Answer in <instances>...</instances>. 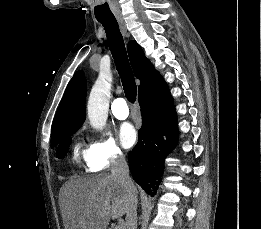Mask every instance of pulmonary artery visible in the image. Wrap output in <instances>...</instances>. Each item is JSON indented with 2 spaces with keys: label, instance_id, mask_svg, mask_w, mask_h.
<instances>
[{
  "label": "pulmonary artery",
  "instance_id": "obj_1",
  "mask_svg": "<svg viewBox=\"0 0 261 229\" xmlns=\"http://www.w3.org/2000/svg\"><path fill=\"white\" fill-rule=\"evenodd\" d=\"M112 113L118 120H125L129 117V109L123 98H118L112 103Z\"/></svg>",
  "mask_w": 261,
  "mask_h": 229
}]
</instances>
